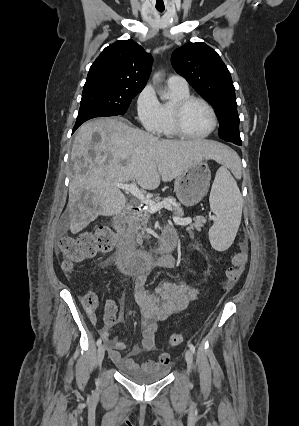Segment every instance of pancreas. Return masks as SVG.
I'll use <instances>...</instances> for the list:
<instances>
[{"label":"pancreas","instance_id":"obj_1","mask_svg":"<svg viewBox=\"0 0 299 426\" xmlns=\"http://www.w3.org/2000/svg\"><path fill=\"white\" fill-rule=\"evenodd\" d=\"M152 201L155 203H158L161 201V198L156 197ZM163 201H166L171 205V208L177 217L180 218L184 215L182 208L180 207L178 203H176V200L173 197H168L164 199ZM149 219H150V211L147 209H140L139 211L135 212L133 216L131 217L130 230L136 236V241L140 245L143 243L142 238L144 236V232ZM193 220H194V223L190 224L186 228V231L190 235L194 234L193 232L194 229L200 231L201 227H203L204 224L206 223V219L202 216H197Z\"/></svg>","mask_w":299,"mask_h":426}]
</instances>
